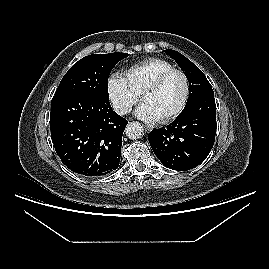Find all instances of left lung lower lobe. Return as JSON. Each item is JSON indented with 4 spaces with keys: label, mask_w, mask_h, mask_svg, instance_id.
Wrapping results in <instances>:
<instances>
[{
    "label": "left lung lower lobe",
    "mask_w": 269,
    "mask_h": 269,
    "mask_svg": "<svg viewBox=\"0 0 269 269\" xmlns=\"http://www.w3.org/2000/svg\"><path fill=\"white\" fill-rule=\"evenodd\" d=\"M216 135L214 92L201 95L186 106L166 128L148 134L150 145L161 163L173 170L187 171L202 163Z\"/></svg>",
    "instance_id": "1"
}]
</instances>
